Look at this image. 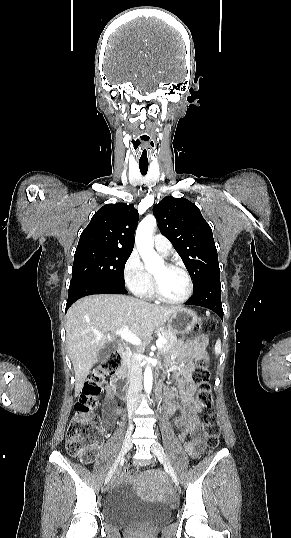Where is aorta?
Masks as SVG:
<instances>
[{
	"label": "aorta",
	"mask_w": 291,
	"mask_h": 538,
	"mask_svg": "<svg viewBox=\"0 0 291 538\" xmlns=\"http://www.w3.org/2000/svg\"><path fill=\"white\" fill-rule=\"evenodd\" d=\"M156 226V218L153 215L146 216L139 224L136 231L137 250L142 257L148 271L163 266V259L154 251L152 234ZM153 374L150 366L144 371V388L147 394L152 391Z\"/></svg>",
	"instance_id": "1"
}]
</instances>
